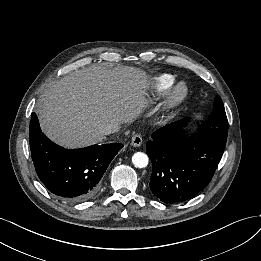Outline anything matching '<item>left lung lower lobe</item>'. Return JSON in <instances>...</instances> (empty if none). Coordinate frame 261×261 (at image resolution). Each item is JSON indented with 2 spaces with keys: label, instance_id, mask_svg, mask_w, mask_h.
I'll return each mask as SVG.
<instances>
[{
  "label": "left lung lower lobe",
  "instance_id": "0a47b994",
  "mask_svg": "<svg viewBox=\"0 0 261 261\" xmlns=\"http://www.w3.org/2000/svg\"><path fill=\"white\" fill-rule=\"evenodd\" d=\"M189 118L181 119L155 131L146 144L152 162L149 187L167 204L184 202L211 181L225 147L211 140L206 121L196 135H187Z\"/></svg>",
  "mask_w": 261,
  "mask_h": 261
}]
</instances>
